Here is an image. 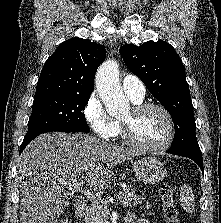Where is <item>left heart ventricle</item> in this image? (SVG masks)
<instances>
[{
  "label": "left heart ventricle",
  "instance_id": "obj_1",
  "mask_svg": "<svg viewBox=\"0 0 221 223\" xmlns=\"http://www.w3.org/2000/svg\"><path fill=\"white\" fill-rule=\"evenodd\" d=\"M121 120L131 122L132 136L139 143L156 146L167 137L168 123L165 116L158 110L149 109L135 115L130 109Z\"/></svg>",
  "mask_w": 221,
  "mask_h": 223
}]
</instances>
